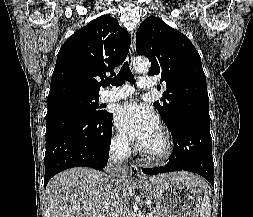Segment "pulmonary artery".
Masks as SVG:
<instances>
[{
  "label": "pulmonary artery",
  "mask_w": 253,
  "mask_h": 217,
  "mask_svg": "<svg viewBox=\"0 0 253 217\" xmlns=\"http://www.w3.org/2000/svg\"><path fill=\"white\" fill-rule=\"evenodd\" d=\"M153 81L150 76H141L138 80V87L143 90H148L153 87ZM134 88L130 85H124L113 90L105 91L101 94V102H112L121 100L132 95Z\"/></svg>",
  "instance_id": "e3ab8cb5"
}]
</instances>
